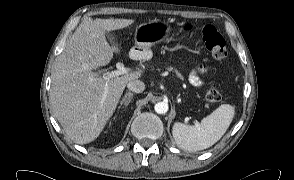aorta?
Wrapping results in <instances>:
<instances>
[{
  "instance_id": "762f6f07",
  "label": "aorta",
  "mask_w": 294,
  "mask_h": 180,
  "mask_svg": "<svg viewBox=\"0 0 294 180\" xmlns=\"http://www.w3.org/2000/svg\"><path fill=\"white\" fill-rule=\"evenodd\" d=\"M154 109L158 114H165L169 109V105L167 102L162 101L155 104Z\"/></svg>"
}]
</instances>
